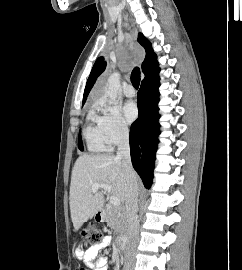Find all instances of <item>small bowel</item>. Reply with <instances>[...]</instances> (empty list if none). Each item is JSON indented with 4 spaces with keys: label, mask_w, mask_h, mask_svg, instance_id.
I'll use <instances>...</instances> for the list:
<instances>
[{
    "label": "small bowel",
    "mask_w": 242,
    "mask_h": 270,
    "mask_svg": "<svg viewBox=\"0 0 242 270\" xmlns=\"http://www.w3.org/2000/svg\"><path fill=\"white\" fill-rule=\"evenodd\" d=\"M110 244V240L105 238L101 243L90 247L85 252L76 251L78 258L82 259L86 264L92 265L95 270H107L108 263L105 257L97 258V254L100 250L104 249Z\"/></svg>",
    "instance_id": "small-bowel-1"
}]
</instances>
